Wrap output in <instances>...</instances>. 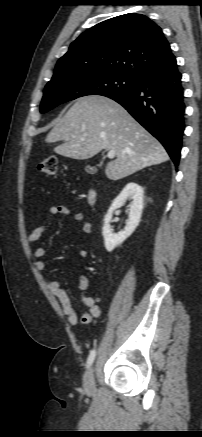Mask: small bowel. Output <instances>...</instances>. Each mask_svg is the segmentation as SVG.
<instances>
[{"instance_id": "obj_1", "label": "small bowel", "mask_w": 202, "mask_h": 437, "mask_svg": "<svg viewBox=\"0 0 202 437\" xmlns=\"http://www.w3.org/2000/svg\"><path fill=\"white\" fill-rule=\"evenodd\" d=\"M50 216L54 217L56 215L70 216L71 210L65 205H51L49 207ZM75 220L82 223L83 231L86 234L91 233V224L84 219L81 213L74 214ZM47 231L46 225H41L36 227L28 236V243L31 245L38 241L43 234ZM46 249L44 247H37L32 250V255L35 258L34 266L37 271L42 272L45 269L46 263L44 261V256ZM88 254V250L83 248L80 250V255L85 257ZM45 284L49 292L55 296L61 304V308L67 320L71 326H76L79 322V317L72 306L71 299L68 293L61 287V283L56 279L44 278ZM87 280L85 278L81 279L80 289L81 300L83 304L88 308V311L81 316V322L83 324H89L94 318H98L101 315V309L97 304V299L89 297L85 294L87 288Z\"/></svg>"}]
</instances>
